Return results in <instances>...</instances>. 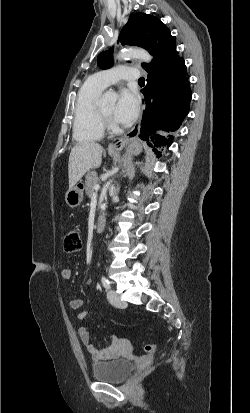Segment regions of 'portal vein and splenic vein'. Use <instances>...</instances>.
<instances>
[{
  "label": "portal vein and splenic vein",
  "mask_w": 250,
  "mask_h": 413,
  "mask_svg": "<svg viewBox=\"0 0 250 413\" xmlns=\"http://www.w3.org/2000/svg\"><path fill=\"white\" fill-rule=\"evenodd\" d=\"M99 189H100V186L98 184L94 186V191L95 192H98Z\"/></svg>",
  "instance_id": "1"
}]
</instances>
